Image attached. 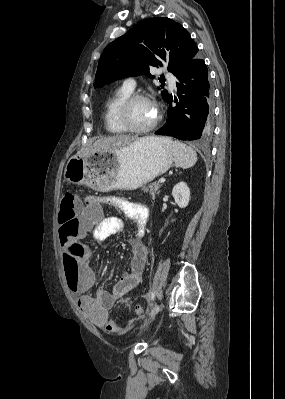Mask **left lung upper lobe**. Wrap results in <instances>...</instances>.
Wrapping results in <instances>:
<instances>
[{
  "label": "left lung upper lobe",
  "instance_id": "1",
  "mask_svg": "<svg viewBox=\"0 0 285 399\" xmlns=\"http://www.w3.org/2000/svg\"><path fill=\"white\" fill-rule=\"evenodd\" d=\"M197 52L196 43L181 24L165 17L148 18L106 46L98 63L94 86L100 88L116 79L144 73L151 76V67L164 65L176 75ZM161 93L167 100L168 92Z\"/></svg>",
  "mask_w": 285,
  "mask_h": 399
}]
</instances>
